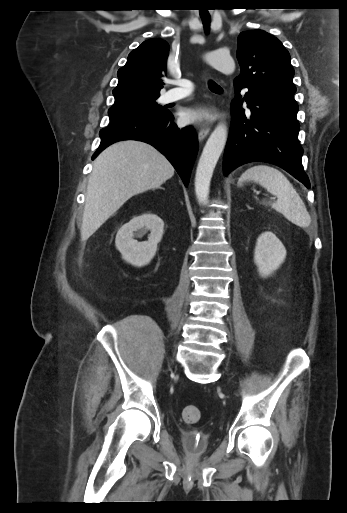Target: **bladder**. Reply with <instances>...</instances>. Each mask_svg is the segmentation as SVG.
Listing matches in <instances>:
<instances>
[{"instance_id":"31cf9c89","label":"bladder","mask_w":347,"mask_h":513,"mask_svg":"<svg viewBox=\"0 0 347 513\" xmlns=\"http://www.w3.org/2000/svg\"><path fill=\"white\" fill-rule=\"evenodd\" d=\"M182 444L185 451L192 455L205 454L210 445L209 437L196 430H183Z\"/></svg>"}]
</instances>
